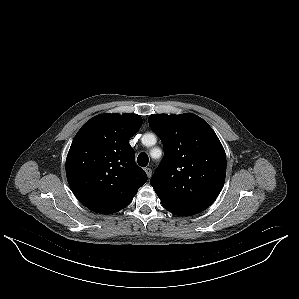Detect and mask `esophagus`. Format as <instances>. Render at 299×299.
Here are the masks:
<instances>
[{
	"instance_id": "34e87169",
	"label": "esophagus",
	"mask_w": 299,
	"mask_h": 299,
	"mask_svg": "<svg viewBox=\"0 0 299 299\" xmlns=\"http://www.w3.org/2000/svg\"><path fill=\"white\" fill-rule=\"evenodd\" d=\"M145 172H146L148 178H150L151 175H152V170H151V168H149V167L145 168Z\"/></svg>"
}]
</instances>
